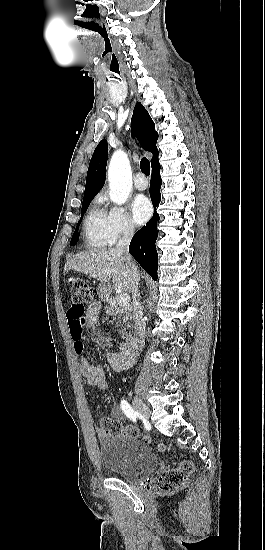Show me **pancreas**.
Here are the masks:
<instances>
[{
  "instance_id": "cf45deb5",
  "label": "pancreas",
  "mask_w": 265,
  "mask_h": 550,
  "mask_svg": "<svg viewBox=\"0 0 265 550\" xmlns=\"http://www.w3.org/2000/svg\"><path fill=\"white\" fill-rule=\"evenodd\" d=\"M106 313L109 316L117 317L120 323L130 326L129 322L133 319V306L132 304H123L119 301V295L111 297L106 306ZM124 333L122 337H124Z\"/></svg>"
}]
</instances>
